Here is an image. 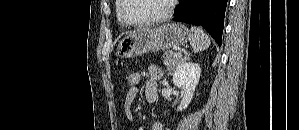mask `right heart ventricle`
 <instances>
[{
    "mask_svg": "<svg viewBox=\"0 0 299 130\" xmlns=\"http://www.w3.org/2000/svg\"><path fill=\"white\" fill-rule=\"evenodd\" d=\"M120 7H121V0H117V1H116V5H115V11H116V16H117V22H118V24H119L121 27L125 28V27H127V25H126V24L121 20V18H120V14H119Z\"/></svg>",
    "mask_w": 299,
    "mask_h": 130,
    "instance_id": "1",
    "label": "right heart ventricle"
}]
</instances>
